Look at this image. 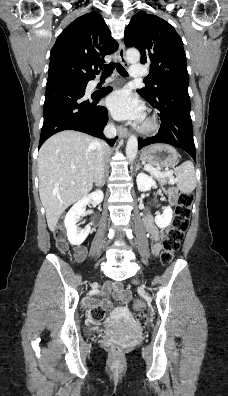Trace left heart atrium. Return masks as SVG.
<instances>
[{"label": "left heart atrium", "mask_w": 228, "mask_h": 396, "mask_svg": "<svg viewBox=\"0 0 228 396\" xmlns=\"http://www.w3.org/2000/svg\"><path fill=\"white\" fill-rule=\"evenodd\" d=\"M107 106L119 119L141 120L144 116L142 103L127 90L113 92L107 98Z\"/></svg>", "instance_id": "obj_1"}]
</instances>
